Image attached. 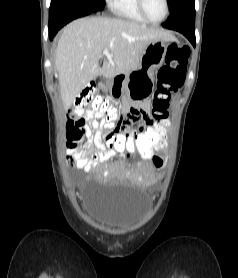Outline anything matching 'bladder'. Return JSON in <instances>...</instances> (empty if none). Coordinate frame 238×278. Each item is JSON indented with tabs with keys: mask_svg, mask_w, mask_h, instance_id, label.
<instances>
[{
	"mask_svg": "<svg viewBox=\"0 0 238 278\" xmlns=\"http://www.w3.org/2000/svg\"><path fill=\"white\" fill-rule=\"evenodd\" d=\"M88 181L84 199L91 221L111 232L124 233L138 227L145 219L150 199L140 186H97Z\"/></svg>",
	"mask_w": 238,
	"mask_h": 278,
	"instance_id": "bladder-1",
	"label": "bladder"
}]
</instances>
